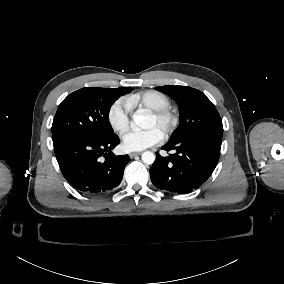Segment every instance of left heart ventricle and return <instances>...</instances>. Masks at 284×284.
I'll use <instances>...</instances> for the list:
<instances>
[{
    "instance_id": "b2bd125f",
    "label": "left heart ventricle",
    "mask_w": 284,
    "mask_h": 284,
    "mask_svg": "<svg viewBox=\"0 0 284 284\" xmlns=\"http://www.w3.org/2000/svg\"><path fill=\"white\" fill-rule=\"evenodd\" d=\"M149 126L151 128H153V127L157 128L159 131H161V129H162L161 125L156 121V119L153 116L150 120Z\"/></svg>"
}]
</instances>
